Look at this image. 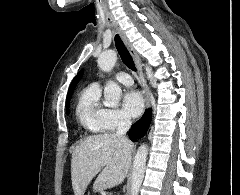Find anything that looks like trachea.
I'll use <instances>...</instances> for the list:
<instances>
[{"mask_svg": "<svg viewBox=\"0 0 240 195\" xmlns=\"http://www.w3.org/2000/svg\"><path fill=\"white\" fill-rule=\"evenodd\" d=\"M115 46L118 50V53L122 59V62L126 67H128L130 70L136 71L135 63L133 61L132 56L128 52L126 46L124 45V42H122V39L119 37V35H115Z\"/></svg>", "mask_w": 240, "mask_h": 195, "instance_id": "1", "label": "trachea"}]
</instances>
